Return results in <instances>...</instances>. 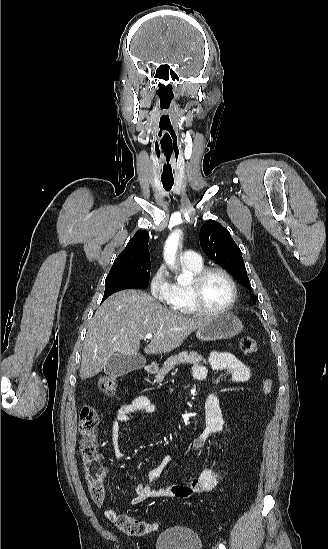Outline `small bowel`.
I'll list each match as a JSON object with an SVG mask.
<instances>
[{
  "instance_id": "obj_1",
  "label": "small bowel",
  "mask_w": 328,
  "mask_h": 549,
  "mask_svg": "<svg viewBox=\"0 0 328 549\" xmlns=\"http://www.w3.org/2000/svg\"><path fill=\"white\" fill-rule=\"evenodd\" d=\"M208 360L212 369L229 372L231 383H244L251 378L250 368L237 356L231 353L212 352L209 355ZM206 373L207 370L203 365H195L192 368V375L197 380L205 379ZM156 411L155 405L146 396H138L131 402L118 408L110 427V441L114 455L117 459L123 458V453L118 446L119 424L130 423V417L133 414L155 413ZM205 415V428L184 450L182 454L183 459H187L192 452L204 448L211 437L222 431L224 422L219 393H213L207 397L205 402ZM171 461L172 457L170 455H164L161 458L158 466L148 472V483L139 484L136 487V495L129 501L130 505L140 504L146 499L153 497L187 499L195 494H203L212 491L217 487L220 481V471L212 468H204L196 476L188 475L186 485L172 483L159 488L152 487L151 483L155 482L161 476ZM109 512L114 513L112 510H107L106 515Z\"/></svg>"
}]
</instances>
